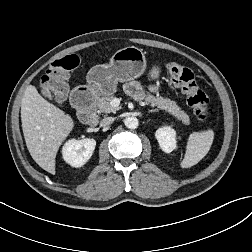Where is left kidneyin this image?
<instances>
[{
  "mask_svg": "<svg viewBox=\"0 0 252 252\" xmlns=\"http://www.w3.org/2000/svg\"><path fill=\"white\" fill-rule=\"evenodd\" d=\"M155 137L160 148L165 153H170L176 148V132L169 126L159 128L155 132Z\"/></svg>",
  "mask_w": 252,
  "mask_h": 252,
  "instance_id": "obj_1",
  "label": "left kidney"
}]
</instances>
